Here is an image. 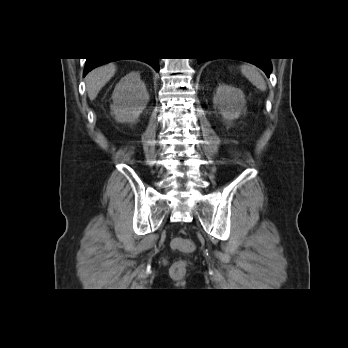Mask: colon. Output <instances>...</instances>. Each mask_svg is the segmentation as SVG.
Instances as JSON below:
<instances>
[{
    "label": "colon",
    "instance_id": "obj_1",
    "mask_svg": "<svg viewBox=\"0 0 348 348\" xmlns=\"http://www.w3.org/2000/svg\"><path fill=\"white\" fill-rule=\"evenodd\" d=\"M171 247L182 253H190L194 250V244L185 238L174 237L171 240ZM187 263L184 260H179L175 262L171 267L172 276L178 277L184 274Z\"/></svg>",
    "mask_w": 348,
    "mask_h": 348
}]
</instances>
